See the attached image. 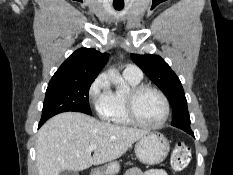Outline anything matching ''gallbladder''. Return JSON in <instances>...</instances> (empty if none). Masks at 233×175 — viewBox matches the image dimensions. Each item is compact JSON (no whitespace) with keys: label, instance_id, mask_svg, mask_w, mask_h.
Listing matches in <instances>:
<instances>
[{"label":"gallbladder","instance_id":"obj_1","mask_svg":"<svg viewBox=\"0 0 233 175\" xmlns=\"http://www.w3.org/2000/svg\"><path fill=\"white\" fill-rule=\"evenodd\" d=\"M59 175H79L78 172L72 170H64Z\"/></svg>","mask_w":233,"mask_h":175}]
</instances>
